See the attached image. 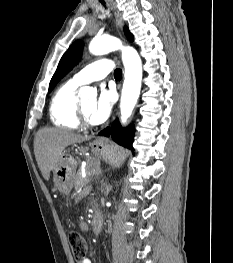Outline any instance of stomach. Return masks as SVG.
Returning a JSON list of instances; mask_svg holds the SVG:
<instances>
[{
	"label": "stomach",
	"instance_id": "obj_1",
	"mask_svg": "<svg viewBox=\"0 0 233 263\" xmlns=\"http://www.w3.org/2000/svg\"><path fill=\"white\" fill-rule=\"evenodd\" d=\"M92 152L95 156L108 161L111 164L119 165L125 156L115 150L108 144L93 142L91 144ZM76 162L65 153H62L56 167L53 169L54 188L61 193L68 194L72 189V180L75 175Z\"/></svg>",
	"mask_w": 233,
	"mask_h": 263
}]
</instances>
